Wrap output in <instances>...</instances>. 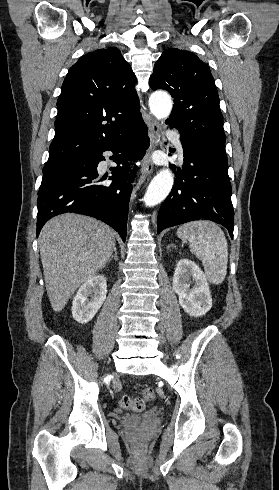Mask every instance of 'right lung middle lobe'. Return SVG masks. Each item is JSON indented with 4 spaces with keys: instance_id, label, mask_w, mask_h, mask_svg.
<instances>
[{
    "instance_id": "obj_1",
    "label": "right lung middle lobe",
    "mask_w": 279,
    "mask_h": 490,
    "mask_svg": "<svg viewBox=\"0 0 279 490\" xmlns=\"http://www.w3.org/2000/svg\"><path fill=\"white\" fill-rule=\"evenodd\" d=\"M82 160L56 163V164H46L43 168V179L42 181H47L53 177L65 173L66 171L83 165Z\"/></svg>"
}]
</instances>
